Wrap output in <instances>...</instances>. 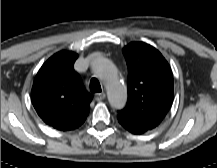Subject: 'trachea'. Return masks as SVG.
Returning <instances> with one entry per match:
<instances>
[{
    "label": "trachea",
    "mask_w": 217,
    "mask_h": 168,
    "mask_svg": "<svg viewBox=\"0 0 217 168\" xmlns=\"http://www.w3.org/2000/svg\"><path fill=\"white\" fill-rule=\"evenodd\" d=\"M90 91L92 93L101 92V85H100L99 81L96 78H92L90 80Z\"/></svg>",
    "instance_id": "obj_1"
}]
</instances>
